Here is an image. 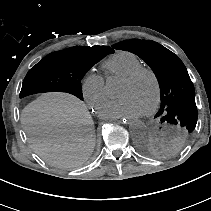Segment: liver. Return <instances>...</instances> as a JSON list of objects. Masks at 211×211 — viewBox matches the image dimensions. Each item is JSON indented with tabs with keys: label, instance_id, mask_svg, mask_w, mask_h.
Wrapping results in <instances>:
<instances>
[{
	"label": "liver",
	"instance_id": "obj_1",
	"mask_svg": "<svg viewBox=\"0 0 211 211\" xmlns=\"http://www.w3.org/2000/svg\"><path fill=\"white\" fill-rule=\"evenodd\" d=\"M31 148L52 165L75 168L95 146L92 117L83 101L62 92L46 93L21 112Z\"/></svg>",
	"mask_w": 211,
	"mask_h": 211
}]
</instances>
